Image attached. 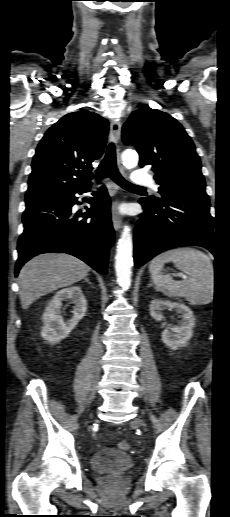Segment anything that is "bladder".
Masks as SVG:
<instances>
[{
	"mask_svg": "<svg viewBox=\"0 0 230 517\" xmlns=\"http://www.w3.org/2000/svg\"><path fill=\"white\" fill-rule=\"evenodd\" d=\"M134 459L130 454L114 448H105L91 456L90 465L96 472L120 473L130 469Z\"/></svg>",
	"mask_w": 230,
	"mask_h": 517,
	"instance_id": "31cf9c89",
	"label": "bladder"
}]
</instances>
